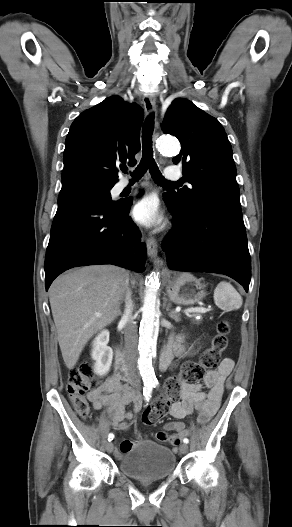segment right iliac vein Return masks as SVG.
<instances>
[{
    "mask_svg": "<svg viewBox=\"0 0 292 527\" xmlns=\"http://www.w3.org/2000/svg\"><path fill=\"white\" fill-rule=\"evenodd\" d=\"M114 449V446H113V443L112 442H107L106 443V450L107 452L111 453Z\"/></svg>",
    "mask_w": 292,
    "mask_h": 527,
    "instance_id": "right-iliac-vein-1",
    "label": "right iliac vein"
}]
</instances>
